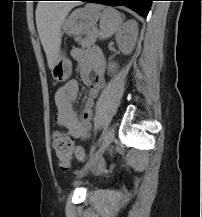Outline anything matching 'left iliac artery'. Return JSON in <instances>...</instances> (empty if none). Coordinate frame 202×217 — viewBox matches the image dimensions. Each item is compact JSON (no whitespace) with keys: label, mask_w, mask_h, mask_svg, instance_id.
Segmentation results:
<instances>
[{"label":"left iliac artery","mask_w":202,"mask_h":217,"mask_svg":"<svg viewBox=\"0 0 202 217\" xmlns=\"http://www.w3.org/2000/svg\"><path fill=\"white\" fill-rule=\"evenodd\" d=\"M104 136H105V130H104V131L102 132V134L100 135V138L98 139V141H97V143H96V146H98V145L101 143V141L103 140ZM96 146H93V147H92L91 152L94 151V149L96 148Z\"/></svg>","instance_id":"obj_1"}]
</instances>
